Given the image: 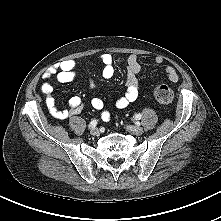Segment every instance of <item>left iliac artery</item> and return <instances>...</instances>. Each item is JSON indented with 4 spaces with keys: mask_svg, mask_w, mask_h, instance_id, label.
<instances>
[{
    "mask_svg": "<svg viewBox=\"0 0 221 221\" xmlns=\"http://www.w3.org/2000/svg\"><path fill=\"white\" fill-rule=\"evenodd\" d=\"M141 117H142V115L139 113V114H137V115L135 116V119H136V120H140Z\"/></svg>",
    "mask_w": 221,
    "mask_h": 221,
    "instance_id": "obj_1",
    "label": "left iliac artery"
}]
</instances>
